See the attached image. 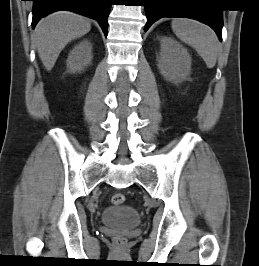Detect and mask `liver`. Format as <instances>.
Listing matches in <instances>:
<instances>
[{
  "label": "liver",
  "mask_w": 259,
  "mask_h": 266,
  "mask_svg": "<svg viewBox=\"0 0 259 266\" xmlns=\"http://www.w3.org/2000/svg\"><path fill=\"white\" fill-rule=\"evenodd\" d=\"M91 29L90 20L68 11H58L41 19L34 30L39 57L50 71L65 46Z\"/></svg>",
  "instance_id": "obj_1"
}]
</instances>
